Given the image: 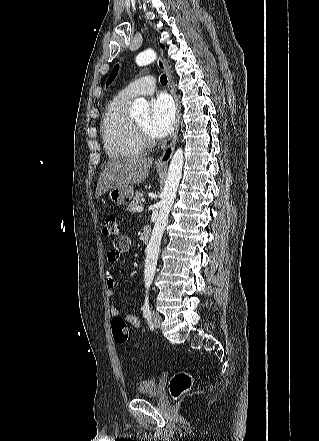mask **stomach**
Instances as JSON below:
<instances>
[{
	"label": "stomach",
	"instance_id": "1",
	"mask_svg": "<svg viewBox=\"0 0 319 441\" xmlns=\"http://www.w3.org/2000/svg\"><path fill=\"white\" fill-rule=\"evenodd\" d=\"M134 190L131 186L116 187L108 191V200L117 205H127L133 198Z\"/></svg>",
	"mask_w": 319,
	"mask_h": 441
}]
</instances>
